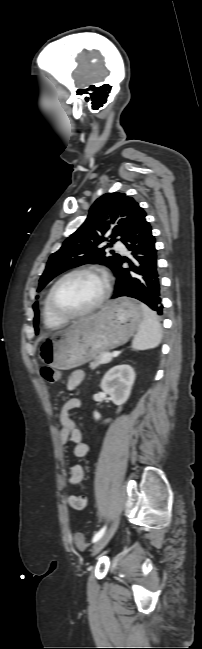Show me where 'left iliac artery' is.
<instances>
[{
    "mask_svg": "<svg viewBox=\"0 0 202 649\" xmlns=\"http://www.w3.org/2000/svg\"><path fill=\"white\" fill-rule=\"evenodd\" d=\"M106 526H104L102 529H100L93 537L92 542H97L105 533Z\"/></svg>",
    "mask_w": 202,
    "mask_h": 649,
    "instance_id": "obj_1",
    "label": "left iliac artery"
}]
</instances>
